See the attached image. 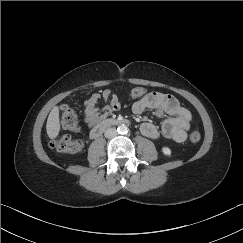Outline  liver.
I'll use <instances>...</instances> for the list:
<instances>
[{"mask_svg":"<svg viewBox=\"0 0 243 243\" xmlns=\"http://www.w3.org/2000/svg\"><path fill=\"white\" fill-rule=\"evenodd\" d=\"M46 131L50 139H54L59 135L60 118H59V108L57 106L53 107V109L51 110L48 116Z\"/></svg>","mask_w":243,"mask_h":243,"instance_id":"liver-1","label":"liver"}]
</instances>
